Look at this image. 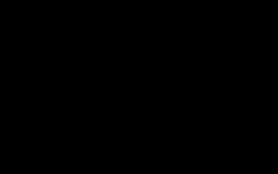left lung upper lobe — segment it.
I'll list each match as a JSON object with an SVG mask.
<instances>
[{
  "label": "left lung upper lobe",
  "mask_w": 278,
  "mask_h": 174,
  "mask_svg": "<svg viewBox=\"0 0 278 174\" xmlns=\"http://www.w3.org/2000/svg\"><path fill=\"white\" fill-rule=\"evenodd\" d=\"M164 33H173L185 47V65L177 82L198 76L214 78L212 53L204 36L194 27L181 21L155 24Z\"/></svg>",
  "instance_id": "5c2ea615"
}]
</instances>
